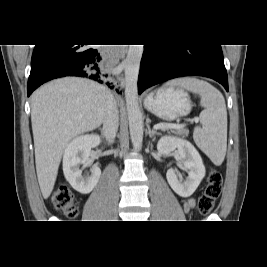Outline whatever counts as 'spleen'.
<instances>
[{"instance_id":"3e777b00","label":"spleen","mask_w":267,"mask_h":267,"mask_svg":"<svg viewBox=\"0 0 267 267\" xmlns=\"http://www.w3.org/2000/svg\"><path fill=\"white\" fill-rule=\"evenodd\" d=\"M167 85L181 86L200 96L204 107L199 115L202 127L194 128L193 139L215 165H221L227 149V110L221 92L206 81L190 77L172 80Z\"/></svg>"}]
</instances>
